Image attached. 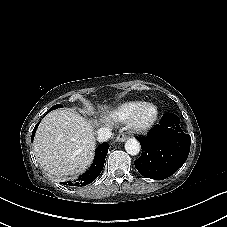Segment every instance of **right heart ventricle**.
<instances>
[{"instance_id": "1", "label": "right heart ventricle", "mask_w": 227, "mask_h": 227, "mask_svg": "<svg viewBox=\"0 0 227 227\" xmlns=\"http://www.w3.org/2000/svg\"><path fill=\"white\" fill-rule=\"evenodd\" d=\"M142 103V101H130L122 103L110 112V118L117 122H124Z\"/></svg>"}]
</instances>
